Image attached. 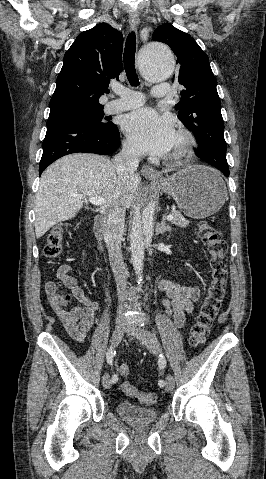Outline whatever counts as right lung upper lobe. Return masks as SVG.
I'll list each match as a JSON object with an SVG mask.
<instances>
[{"label":"right lung upper lobe","instance_id":"obj_1","mask_svg":"<svg viewBox=\"0 0 266 479\" xmlns=\"http://www.w3.org/2000/svg\"><path fill=\"white\" fill-rule=\"evenodd\" d=\"M122 34L107 23L80 33L64 55L50 113L74 108L103 107L99 103L110 80L122 72Z\"/></svg>","mask_w":266,"mask_h":479}]
</instances>
